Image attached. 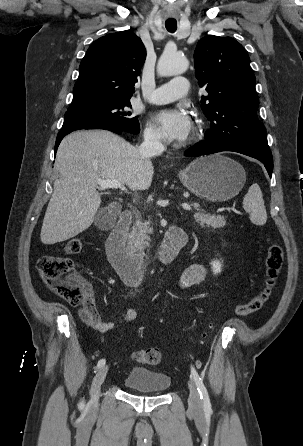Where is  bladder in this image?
Returning <instances> with one entry per match:
<instances>
[{
  "label": "bladder",
  "instance_id": "31cf9c89",
  "mask_svg": "<svg viewBox=\"0 0 303 446\" xmlns=\"http://www.w3.org/2000/svg\"><path fill=\"white\" fill-rule=\"evenodd\" d=\"M123 384L131 391L162 394L171 387V378L160 371L134 367L125 376Z\"/></svg>",
  "mask_w": 303,
  "mask_h": 446
}]
</instances>
